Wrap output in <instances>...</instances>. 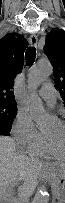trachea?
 Listing matches in <instances>:
<instances>
[{
  "label": "trachea",
  "mask_w": 65,
  "mask_h": 203,
  "mask_svg": "<svg viewBox=\"0 0 65 203\" xmlns=\"http://www.w3.org/2000/svg\"><path fill=\"white\" fill-rule=\"evenodd\" d=\"M36 58V49L35 47H28L25 52V59L28 66H31Z\"/></svg>",
  "instance_id": "trachea-1"
}]
</instances>
